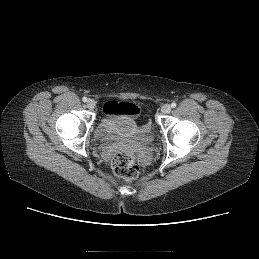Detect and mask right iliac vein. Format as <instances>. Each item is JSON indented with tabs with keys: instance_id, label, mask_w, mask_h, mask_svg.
Returning a JSON list of instances; mask_svg holds the SVG:
<instances>
[{
	"instance_id": "right-iliac-vein-1",
	"label": "right iliac vein",
	"mask_w": 259,
	"mask_h": 259,
	"mask_svg": "<svg viewBox=\"0 0 259 259\" xmlns=\"http://www.w3.org/2000/svg\"><path fill=\"white\" fill-rule=\"evenodd\" d=\"M95 106H96V104H95V101H94V100L89 99V100L87 101V107H88L89 109H94Z\"/></svg>"
}]
</instances>
